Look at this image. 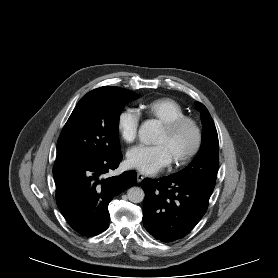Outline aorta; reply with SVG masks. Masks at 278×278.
<instances>
[{"label":"aorta","mask_w":278,"mask_h":278,"mask_svg":"<svg viewBox=\"0 0 278 278\" xmlns=\"http://www.w3.org/2000/svg\"><path fill=\"white\" fill-rule=\"evenodd\" d=\"M139 138L145 144H152L159 135V125L156 120H147L139 128ZM129 201L140 203L144 200L145 193L140 187H132L128 190Z\"/></svg>","instance_id":"aorta-1"}]
</instances>
